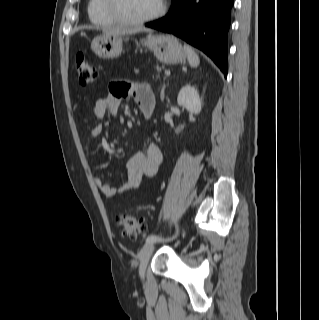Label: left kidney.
<instances>
[{
  "mask_svg": "<svg viewBox=\"0 0 319 320\" xmlns=\"http://www.w3.org/2000/svg\"><path fill=\"white\" fill-rule=\"evenodd\" d=\"M177 103L179 106L186 108L191 114H199L202 109L199 93L191 85H185L181 88L177 97Z\"/></svg>",
  "mask_w": 319,
  "mask_h": 320,
  "instance_id": "1",
  "label": "left kidney"
}]
</instances>
